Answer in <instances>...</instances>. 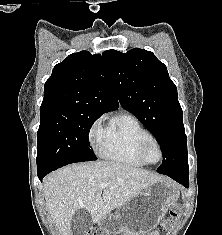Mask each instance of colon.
<instances>
[{"instance_id": "colon-1", "label": "colon", "mask_w": 222, "mask_h": 235, "mask_svg": "<svg viewBox=\"0 0 222 235\" xmlns=\"http://www.w3.org/2000/svg\"><path fill=\"white\" fill-rule=\"evenodd\" d=\"M164 226L167 227L168 226V222H165ZM88 235H106V234L103 233V232H99V231H91V232L88 233Z\"/></svg>"}]
</instances>
